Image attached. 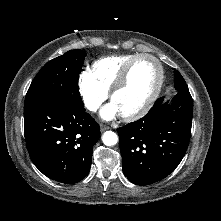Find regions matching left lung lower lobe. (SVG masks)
<instances>
[{
  "label": "left lung lower lobe",
  "instance_id": "left-lung-lower-lobe-1",
  "mask_svg": "<svg viewBox=\"0 0 221 221\" xmlns=\"http://www.w3.org/2000/svg\"><path fill=\"white\" fill-rule=\"evenodd\" d=\"M177 91L170 104L159 98L146 116L118 128L123 173L136 185L165 178L186 153L193 101L188 89Z\"/></svg>",
  "mask_w": 221,
  "mask_h": 221
}]
</instances>
